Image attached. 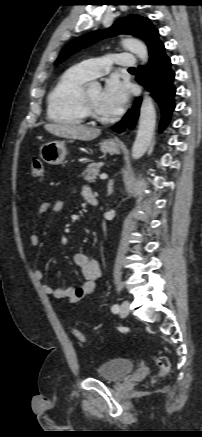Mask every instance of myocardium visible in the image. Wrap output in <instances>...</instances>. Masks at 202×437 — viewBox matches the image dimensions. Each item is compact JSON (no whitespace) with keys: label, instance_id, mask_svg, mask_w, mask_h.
Here are the masks:
<instances>
[{"label":"myocardium","instance_id":"obj_1","mask_svg":"<svg viewBox=\"0 0 202 437\" xmlns=\"http://www.w3.org/2000/svg\"><path fill=\"white\" fill-rule=\"evenodd\" d=\"M81 106L87 118L96 121H106L107 118L98 112L87 97L86 91L81 92Z\"/></svg>","mask_w":202,"mask_h":437}]
</instances>
